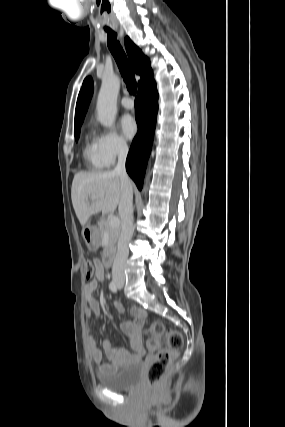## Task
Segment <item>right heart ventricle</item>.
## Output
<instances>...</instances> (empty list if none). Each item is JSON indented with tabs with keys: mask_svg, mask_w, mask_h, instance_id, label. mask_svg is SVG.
<instances>
[{
	"mask_svg": "<svg viewBox=\"0 0 285 427\" xmlns=\"http://www.w3.org/2000/svg\"><path fill=\"white\" fill-rule=\"evenodd\" d=\"M83 158L88 167L93 170H100L107 166L98 148L97 139L91 133L86 136Z\"/></svg>",
	"mask_w": 285,
	"mask_h": 427,
	"instance_id": "1",
	"label": "right heart ventricle"
}]
</instances>
